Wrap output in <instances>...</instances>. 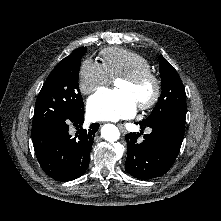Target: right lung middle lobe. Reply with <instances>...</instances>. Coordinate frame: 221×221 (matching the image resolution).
Wrapping results in <instances>:
<instances>
[{"instance_id":"dd1d6c3e","label":"right lung middle lobe","mask_w":221,"mask_h":221,"mask_svg":"<svg viewBox=\"0 0 221 221\" xmlns=\"http://www.w3.org/2000/svg\"><path fill=\"white\" fill-rule=\"evenodd\" d=\"M86 50V47L80 48L64 58L46 79L36 101L32 135L54 121L84 112L78 76L80 60Z\"/></svg>"}]
</instances>
